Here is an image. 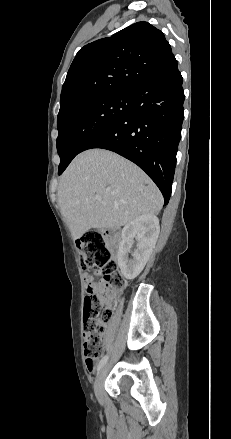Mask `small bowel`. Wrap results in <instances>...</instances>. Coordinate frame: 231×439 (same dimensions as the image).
Segmentation results:
<instances>
[{
    "label": "small bowel",
    "instance_id": "c3829d8e",
    "mask_svg": "<svg viewBox=\"0 0 231 439\" xmlns=\"http://www.w3.org/2000/svg\"><path fill=\"white\" fill-rule=\"evenodd\" d=\"M86 282H87V292L98 290V285L92 281L90 275L86 276Z\"/></svg>",
    "mask_w": 231,
    "mask_h": 439
}]
</instances>
